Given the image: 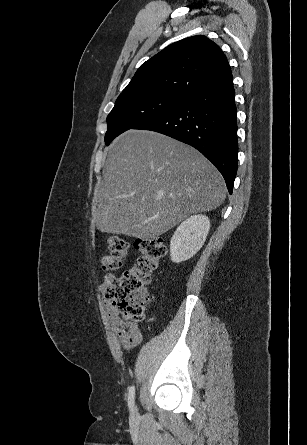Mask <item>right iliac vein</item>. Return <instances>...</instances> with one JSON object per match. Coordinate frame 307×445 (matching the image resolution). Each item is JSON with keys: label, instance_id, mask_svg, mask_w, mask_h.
<instances>
[{"label": "right iliac vein", "instance_id": "63e3f726", "mask_svg": "<svg viewBox=\"0 0 307 445\" xmlns=\"http://www.w3.org/2000/svg\"><path fill=\"white\" fill-rule=\"evenodd\" d=\"M136 417H137V409L135 408L133 410V412L131 413V418H132V420H134V419H136Z\"/></svg>", "mask_w": 307, "mask_h": 445}]
</instances>
